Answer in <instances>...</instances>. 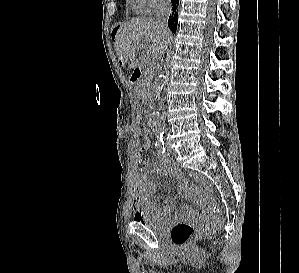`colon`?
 Instances as JSON below:
<instances>
[{
	"label": "colon",
	"instance_id": "obj_1",
	"mask_svg": "<svg viewBox=\"0 0 299 273\" xmlns=\"http://www.w3.org/2000/svg\"><path fill=\"white\" fill-rule=\"evenodd\" d=\"M143 149L149 150L151 147V138L149 133H144L143 136ZM207 210L210 214V220L203 223H188L179 222L175 224L170 232L172 242L177 246H186L193 239L208 234L211 230L219 225V220L217 218L219 213V207L214 198H208Z\"/></svg>",
	"mask_w": 299,
	"mask_h": 273
}]
</instances>
